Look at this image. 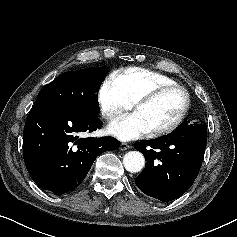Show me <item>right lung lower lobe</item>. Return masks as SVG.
Masks as SVG:
<instances>
[{"mask_svg":"<svg viewBox=\"0 0 237 237\" xmlns=\"http://www.w3.org/2000/svg\"><path fill=\"white\" fill-rule=\"evenodd\" d=\"M102 124L98 117H84L57 105L35 103L23 132V158L33 181L55 194L79 186L100 153L120 146L112 137L78 136L100 129Z\"/></svg>","mask_w":237,"mask_h":237,"instance_id":"obj_1","label":"right lung lower lobe"}]
</instances>
